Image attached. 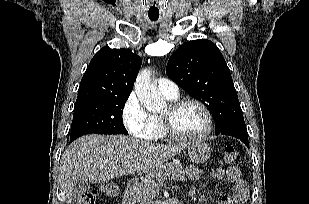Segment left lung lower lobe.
I'll return each instance as SVG.
<instances>
[{"label":"left lung lower lobe","mask_w":309,"mask_h":204,"mask_svg":"<svg viewBox=\"0 0 309 204\" xmlns=\"http://www.w3.org/2000/svg\"><path fill=\"white\" fill-rule=\"evenodd\" d=\"M215 134L234 136L240 139L247 147H249L247 129L244 121L230 124L226 126L224 129L215 132Z\"/></svg>","instance_id":"left-lung-lower-lobe-1"}]
</instances>
